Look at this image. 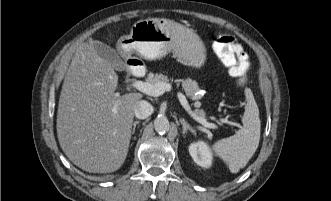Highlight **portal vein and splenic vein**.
Wrapping results in <instances>:
<instances>
[{
  "mask_svg": "<svg viewBox=\"0 0 331 201\" xmlns=\"http://www.w3.org/2000/svg\"><path fill=\"white\" fill-rule=\"evenodd\" d=\"M137 89L140 92H143L147 95L153 96V97H158L160 95H162L164 92L166 91H170L171 90V85L169 83H156V84H151L148 82H143L140 80H136L134 81L132 84L129 85L128 89ZM177 97L181 103V105L191 114V116L198 121L200 124H202L203 126L207 127V128H212L215 129L217 128V126L214 123H209L207 122L206 119L197 116L195 113H193L191 111V108L188 104V101L185 97V95L181 92L177 93ZM117 104L115 105V107L113 108V112L116 113L117 109H116Z\"/></svg>",
  "mask_w": 331,
  "mask_h": 201,
  "instance_id": "obj_1",
  "label": "portal vein and splenic vein"
}]
</instances>
